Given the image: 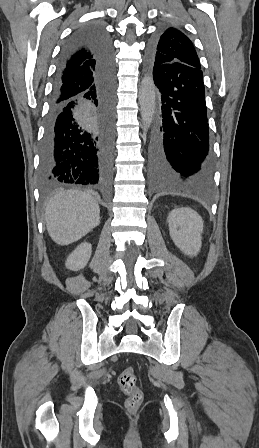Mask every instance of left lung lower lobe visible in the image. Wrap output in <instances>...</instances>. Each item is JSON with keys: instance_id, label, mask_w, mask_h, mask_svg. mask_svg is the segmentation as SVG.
I'll use <instances>...</instances> for the list:
<instances>
[{"instance_id": "obj_1", "label": "left lung lower lobe", "mask_w": 259, "mask_h": 448, "mask_svg": "<svg viewBox=\"0 0 259 448\" xmlns=\"http://www.w3.org/2000/svg\"><path fill=\"white\" fill-rule=\"evenodd\" d=\"M146 65L161 94L150 145L152 185L159 191L206 193L214 159L202 70L179 62L157 65L149 52Z\"/></svg>"}]
</instances>
